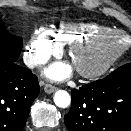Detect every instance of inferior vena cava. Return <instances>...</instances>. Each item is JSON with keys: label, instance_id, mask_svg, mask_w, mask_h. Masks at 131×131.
Wrapping results in <instances>:
<instances>
[{"label": "inferior vena cava", "instance_id": "602c4592", "mask_svg": "<svg viewBox=\"0 0 131 131\" xmlns=\"http://www.w3.org/2000/svg\"><path fill=\"white\" fill-rule=\"evenodd\" d=\"M23 60L27 67L34 68L37 65L46 63L48 59L44 56H34L31 54H26L24 55Z\"/></svg>", "mask_w": 131, "mask_h": 131}]
</instances>
